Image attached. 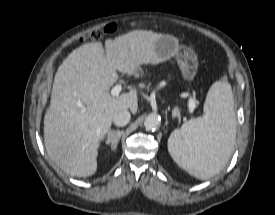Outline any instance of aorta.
I'll list each match as a JSON object with an SVG mask.
<instances>
[{
    "mask_svg": "<svg viewBox=\"0 0 275 215\" xmlns=\"http://www.w3.org/2000/svg\"><path fill=\"white\" fill-rule=\"evenodd\" d=\"M161 118L157 113H151L146 116L144 126L147 130H155L160 126Z\"/></svg>",
    "mask_w": 275,
    "mask_h": 215,
    "instance_id": "1",
    "label": "aorta"
}]
</instances>
